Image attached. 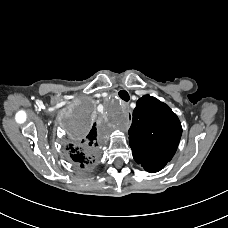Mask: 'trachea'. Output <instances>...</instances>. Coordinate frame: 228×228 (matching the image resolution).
<instances>
[{"mask_svg":"<svg viewBox=\"0 0 228 228\" xmlns=\"http://www.w3.org/2000/svg\"><path fill=\"white\" fill-rule=\"evenodd\" d=\"M118 95L122 100H124L126 102L129 101V99H130L128 92H126L125 90H120Z\"/></svg>","mask_w":228,"mask_h":228,"instance_id":"trachea-1","label":"trachea"}]
</instances>
